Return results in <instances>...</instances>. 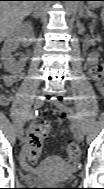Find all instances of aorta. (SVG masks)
Instances as JSON below:
<instances>
[{
    "instance_id": "aorta-1",
    "label": "aorta",
    "mask_w": 104,
    "mask_h": 189,
    "mask_svg": "<svg viewBox=\"0 0 104 189\" xmlns=\"http://www.w3.org/2000/svg\"><path fill=\"white\" fill-rule=\"evenodd\" d=\"M78 1H65L64 6H65V11L68 17L72 16L75 11L77 10L78 7Z\"/></svg>"
}]
</instances>
